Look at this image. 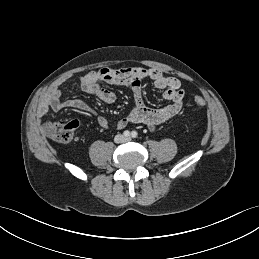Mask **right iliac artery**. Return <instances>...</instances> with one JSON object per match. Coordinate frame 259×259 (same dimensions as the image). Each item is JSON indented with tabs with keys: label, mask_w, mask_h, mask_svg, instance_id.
<instances>
[{
	"label": "right iliac artery",
	"mask_w": 259,
	"mask_h": 259,
	"mask_svg": "<svg viewBox=\"0 0 259 259\" xmlns=\"http://www.w3.org/2000/svg\"><path fill=\"white\" fill-rule=\"evenodd\" d=\"M123 135L125 137H129L130 136V132L128 130H126V131L123 132Z\"/></svg>",
	"instance_id": "82829eb1"
}]
</instances>
